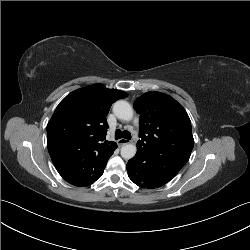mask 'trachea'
<instances>
[{
    "label": "trachea",
    "instance_id": "obj_1",
    "mask_svg": "<svg viewBox=\"0 0 250 250\" xmlns=\"http://www.w3.org/2000/svg\"><path fill=\"white\" fill-rule=\"evenodd\" d=\"M121 138H125V139H131V134L128 131H121L120 129H117L115 132V139H121Z\"/></svg>",
    "mask_w": 250,
    "mask_h": 250
}]
</instances>
